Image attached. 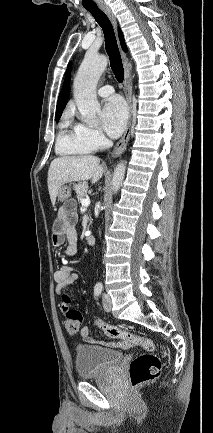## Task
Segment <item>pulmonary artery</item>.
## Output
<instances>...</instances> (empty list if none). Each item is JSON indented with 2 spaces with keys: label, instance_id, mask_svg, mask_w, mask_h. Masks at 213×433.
Here are the masks:
<instances>
[{
  "label": "pulmonary artery",
  "instance_id": "1",
  "mask_svg": "<svg viewBox=\"0 0 213 433\" xmlns=\"http://www.w3.org/2000/svg\"><path fill=\"white\" fill-rule=\"evenodd\" d=\"M97 92H98L99 96H101V97H108L111 94H113L114 89L111 85H104V86L100 87Z\"/></svg>",
  "mask_w": 213,
  "mask_h": 433
}]
</instances>
